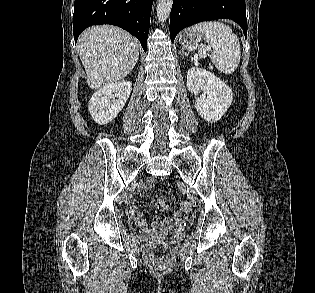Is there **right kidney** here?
<instances>
[{"mask_svg":"<svg viewBox=\"0 0 315 293\" xmlns=\"http://www.w3.org/2000/svg\"><path fill=\"white\" fill-rule=\"evenodd\" d=\"M132 90V83L120 81L103 86L89 101V112L99 125L111 122L123 109Z\"/></svg>","mask_w":315,"mask_h":293,"instance_id":"1","label":"right kidney"}]
</instances>
